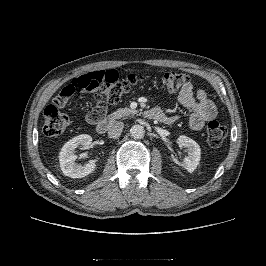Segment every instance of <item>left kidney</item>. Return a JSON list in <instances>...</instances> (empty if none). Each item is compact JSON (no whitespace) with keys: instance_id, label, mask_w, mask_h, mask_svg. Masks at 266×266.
<instances>
[{"instance_id":"obj_1","label":"left kidney","mask_w":266,"mask_h":266,"mask_svg":"<svg viewBox=\"0 0 266 266\" xmlns=\"http://www.w3.org/2000/svg\"><path fill=\"white\" fill-rule=\"evenodd\" d=\"M178 142L183 147L188 148V156L183 159V162H178V164L192 173L197 168L201 158L200 146L193 139L184 135L178 138Z\"/></svg>"}]
</instances>
